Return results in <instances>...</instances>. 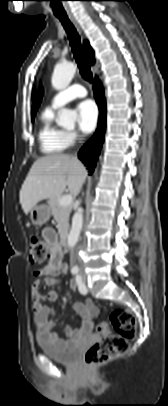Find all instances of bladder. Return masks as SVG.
<instances>
[{"instance_id":"1","label":"bladder","mask_w":168,"mask_h":406,"mask_svg":"<svg viewBox=\"0 0 168 406\" xmlns=\"http://www.w3.org/2000/svg\"><path fill=\"white\" fill-rule=\"evenodd\" d=\"M37 343L46 356L58 363L73 365L79 359L81 352L80 346L58 347L39 335L37 336Z\"/></svg>"}]
</instances>
